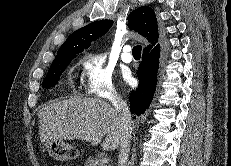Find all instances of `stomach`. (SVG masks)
Instances as JSON below:
<instances>
[{
    "label": "stomach",
    "instance_id": "0dacf381",
    "mask_svg": "<svg viewBox=\"0 0 231 166\" xmlns=\"http://www.w3.org/2000/svg\"><path fill=\"white\" fill-rule=\"evenodd\" d=\"M46 147L49 154L56 160L67 161L78 156V151L62 139L46 141Z\"/></svg>",
    "mask_w": 231,
    "mask_h": 166
}]
</instances>
